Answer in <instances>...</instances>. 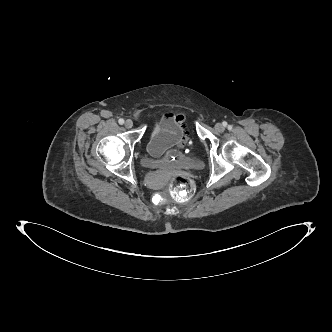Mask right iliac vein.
Listing matches in <instances>:
<instances>
[{
	"instance_id": "1",
	"label": "right iliac vein",
	"mask_w": 332,
	"mask_h": 332,
	"mask_svg": "<svg viewBox=\"0 0 332 332\" xmlns=\"http://www.w3.org/2000/svg\"><path fill=\"white\" fill-rule=\"evenodd\" d=\"M125 127H126L127 129L132 128V127H133V121L130 120V119L126 120V122H125Z\"/></svg>"
}]
</instances>
